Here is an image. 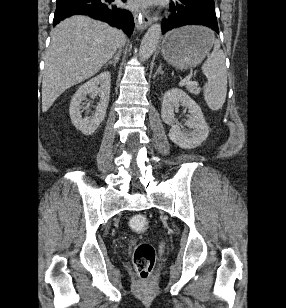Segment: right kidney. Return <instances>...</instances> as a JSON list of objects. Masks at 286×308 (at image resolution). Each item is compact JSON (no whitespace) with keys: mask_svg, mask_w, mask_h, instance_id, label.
Returning a JSON list of instances; mask_svg holds the SVG:
<instances>
[{"mask_svg":"<svg viewBox=\"0 0 286 308\" xmlns=\"http://www.w3.org/2000/svg\"><path fill=\"white\" fill-rule=\"evenodd\" d=\"M111 75L104 71L78 88L73 95L69 113L72 124L84 135H92L105 118L110 96ZM98 94L100 96L93 117H82L81 104L87 95Z\"/></svg>","mask_w":286,"mask_h":308,"instance_id":"right-kidney-1","label":"right kidney"}]
</instances>
